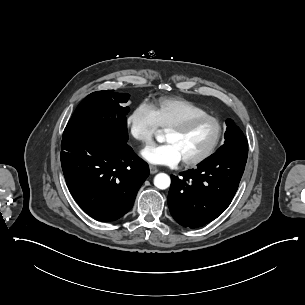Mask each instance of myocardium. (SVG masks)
<instances>
[{
  "label": "myocardium",
  "mask_w": 305,
  "mask_h": 305,
  "mask_svg": "<svg viewBox=\"0 0 305 305\" xmlns=\"http://www.w3.org/2000/svg\"><path fill=\"white\" fill-rule=\"evenodd\" d=\"M208 120L217 122V124L219 126V132H218L217 139L215 140L213 145L209 149H207L202 155H200L194 159L182 160L185 167H187V168H192V167L205 163L218 151V149L221 147V145L224 141V137H225V133H226V124L220 117L207 113L205 115L194 116V117H190V118L184 119L182 121L176 122L167 128V130H172V131H185V130L191 128L195 124H198V123H201L204 121H208Z\"/></svg>",
  "instance_id": "f54148a6"
}]
</instances>
